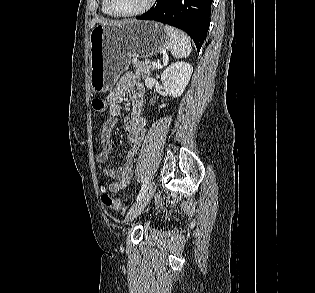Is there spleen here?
<instances>
[{
    "label": "spleen",
    "instance_id": "1",
    "mask_svg": "<svg viewBox=\"0 0 315 293\" xmlns=\"http://www.w3.org/2000/svg\"><path fill=\"white\" fill-rule=\"evenodd\" d=\"M164 29L169 37V50L175 58H186L192 51V46L189 38L182 31L165 25Z\"/></svg>",
    "mask_w": 315,
    "mask_h": 293
}]
</instances>
